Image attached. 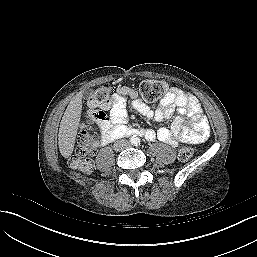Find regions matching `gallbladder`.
Returning <instances> with one entry per match:
<instances>
[{
    "mask_svg": "<svg viewBox=\"0 0 257 257\" xmlns=\"http://www.w3.org/2000/svg\"><path fill=\"white\" fill-rule=\"evenodd\" d=\"M91 95V92H89V91H86L85 93H84V96L85 97H89Z\"/></svg>",
    "mask_w": 257,
    "mask_h": 257,
    "instance_id": "bac80fb5",
    "label": "gallbladder"
}]
</instances>
